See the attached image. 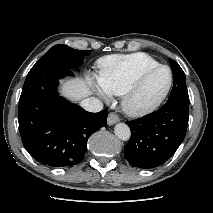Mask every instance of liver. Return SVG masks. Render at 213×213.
I'll use <instances>...</instances> for the list:
<instances>
[{"label": "liver", "mask_w": 213, "mask_h": 213, "mask_svg": "<svg viewBox=\"0 0 213 213\" xmlns=\"http://www.w3.org/2000/svg\"><path fill=\"white\" fill-rule=\"evenodd\" d=\"M60 92L73 101H79L92 94L88 81L83 78L61 81Z\"/></svg>", "instance_id": "6515ba94"}]
</instances>
